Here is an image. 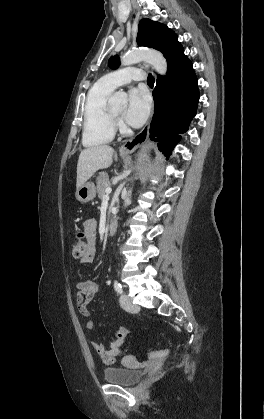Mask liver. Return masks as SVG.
Listing matches in <instances>:
<instances>
[{"instance_id":"6515ba94","label":"liver","mask_w":264,"mask_h":419,"mask_svg":"<svg viewBox=\"0 0 264 419\" xmlns=\"http://www.w3.org/2000/svg\"><path fill=\"white\" fill-rule=\"evenodd\" d=\"M114 149L99 145L81 151L77 164V189L89 180L96 171L106 169L112 164Z\"/></svg>"}]
</instances>
